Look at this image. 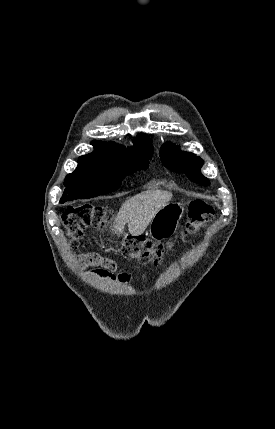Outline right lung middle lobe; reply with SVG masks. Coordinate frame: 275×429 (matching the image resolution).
<instances>
[{
    "mask_svg": "<svg viewBox=\"0 0 275 429\" xmlns=\"http://www.w3.org/2000/svg\"><path fill=\"white\" fill-rule=\"evenodd\" d=\"M151 156H124L108 164L83 163L67 175L64 181L62 203L82 198H91L118 189L127 175L148 167Z\"/></svg>",
    "mask_w": 275,
    "mask_h": 429,
    "instance_id": "dd1d6c3e",
    "label": "right lung middle lobe"
}]
</instances>
